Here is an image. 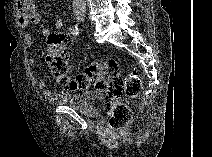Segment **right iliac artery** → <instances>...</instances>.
Segmentation results:
<instances>
[{"label": "right iliac artery", "mask_w": 212, "mask_h": 157, "mask_svg": "<svg viewBox=\"0 0 212 157\" xmlns=\"http://www.w3.org/2000/svg\"><path fill=\"white\" fill-rule=\"evenodd\" d=\"M69 31L72 35H78L79 33V29H78V26L77 25H72L70 28H69Z\"/></svg>", "instance_id": "obj_1"}]
</instances>
